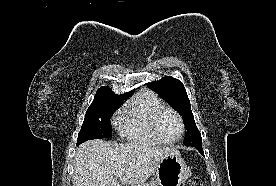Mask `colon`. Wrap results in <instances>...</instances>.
<instances>
[{"label": "colon", "instance_id": "obj_1", "mask_svg": "<svg viewBox=\"0 0 276 186\" xmlns=\"http://www.w3.org/2000/svg\"><path fill=\"white\" fill-rule=\"evenodd\" d=\"M187 186H204V185L201 179L194 178L188 182Z\"/></svg>", "mask_w": 276, "mask_h": 186}]
</instances>
